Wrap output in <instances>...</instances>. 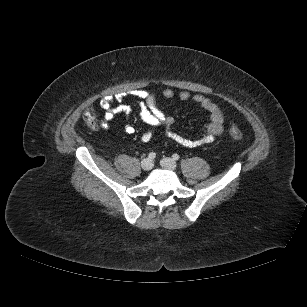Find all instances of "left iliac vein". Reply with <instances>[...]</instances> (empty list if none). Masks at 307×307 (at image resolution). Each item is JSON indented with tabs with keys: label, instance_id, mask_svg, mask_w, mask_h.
Here are the masks:
<instances>
[{
	"label": "left iliac vein",
	"instance_id": "1",
	"mask_svg": "<svg viewBox=\"0 0 307 307\" xmlns=\"http://www.w3.org/2000/svg\"><path fill=\"white\" fill-rule=\"evenodd\" d=\"M161 166L168 170H174L177 167V163L172 158H163L161 160Z\"/></svg>",
	"mask_w": 307,
	"mask_h": 307
}]
</instances>
